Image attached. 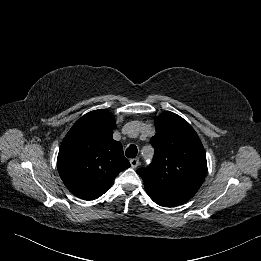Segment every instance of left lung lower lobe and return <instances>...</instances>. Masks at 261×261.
Listing matches in <instances>:
<instances>
[{
    "instance_id": "1",
    "label": "left lung lower lobe",
    "mask_w": 261,
    "mask_h": 261,
    "mask_svg": "<svg viewBox=\"0 0 261 261\" xmlns=\"http://www.w3.org/2000/svg\"><path fill=\"white\" fill-rule=\"evenodd\" d=\"M150 198L158 205L164 207H175L187 202L190 198L184 195L157 191L145 188Z\"/></svg>"
}]
</instances>
